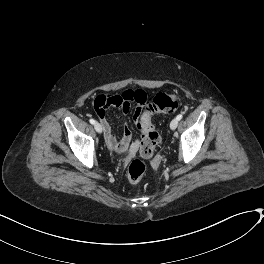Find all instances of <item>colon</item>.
Instances as JSON below:
<instances>
[{"instance_id":"colon-1","label":"colon","mask_w":264,"mask_h":264,"mask_svg":"<svg viewBox=\"0 0 264 264\" xmlns=\"http://www.w3.org/2000/svg\"><path fill=\"white\" fill-rule=\"evenodd\" d=\"M135 97L142 101V94L137 92ZM181 96L179 94L165 95L159 94L148 102L141 103L144 106L142 117L137 123V127L142 132L140 144V154L144 158H151L154 155L155 148L160 142V136L152 125L151 119L158 113L174 111L179 104ZM146 166L140 160H134L130 163L127 170V178L130 182H139L145 175Z\"/></svg>"}]
</instances>
